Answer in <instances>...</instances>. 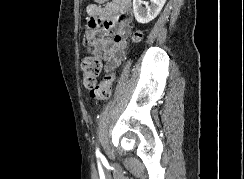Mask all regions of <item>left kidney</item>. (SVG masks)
I'll return each instance as SVG.
<instances>
[{
	"label": "left kidney",
	"mask_w": 244,
	"mask_h": 179,
	"mask_svg": "<svg viewBox=\"0 0 244 179\" xmlns=\"http://www.w3.org/2000/svg\"><path fill=\"white\" fill-rule=\"evenodd\" d=\"M150 2V6L142 8V0H133V12L135 20L139 24H148V22L154 20L159 12H161L166 0H150Z\"/></svg>",
	"instance_id": "left-kidney-1"
}]
</instances>
